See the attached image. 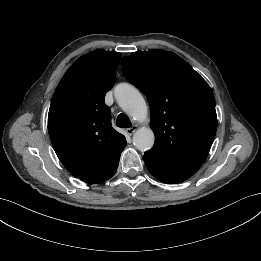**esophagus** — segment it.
I'll return each instance as SVG.
<instances>
[{
  "instance_id": "34e87169",
  "label": "esophagus",
  "mask_w": 261,
  "mask_h": 261,
  "mask_svg": "<svg viewBox=\"0 0 261 261\" xmlns=\"http://www.w3.org/2000/svg\"><path fill=\"white\" fill-rule=\"evenodd\" d=\"M137 129H138V126L134 125V126L128 128V129H126V132H127L128 135H133L136 132Z\"/></svg>"
}]
</instances>
